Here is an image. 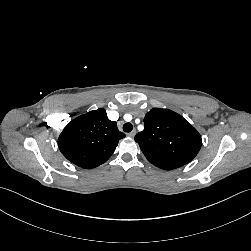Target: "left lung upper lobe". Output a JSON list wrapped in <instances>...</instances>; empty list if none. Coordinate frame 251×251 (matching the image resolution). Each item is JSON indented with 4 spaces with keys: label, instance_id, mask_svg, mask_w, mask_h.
<instances>
[{
    "label": "left lung upper lobe",
    "instance_id": "5c2ea615",
    "mask_svg": "<svg viewBox=\"0 0 251 251\" xmlns=\"http://www.w3.org/2000/svg\"><path fill=\"white\" fill-rule=\"evenodd\" d=\"M135 141L147 160L164 170L189 163L202 144L200 134L188 121L162 108H153L146 114L144 130L136 134Z\"/></svg>",
    "mask_w": 251,
    "mask_h": 251
}]
</instances>
